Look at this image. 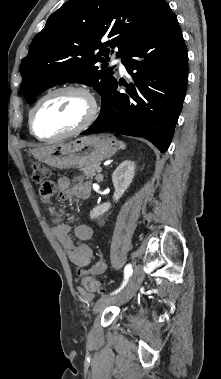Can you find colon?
I'll use <instances>...</instances> for the list:
<instances>
[{"label":"colon","mask_w":221,"mask_h":379,"mask_svg":"<svg viewBox=\"0 0 221 379\" xmlns=\"http://www.w3.org/2000/svg\"><path fill=\"white\" fill-rule=\"evenodd\" d=\"M50 177L51 172L46 165L38 162L32 165L31 178L33 183L39 186L40 195H45L51 190ZM82 284L88 292H102L103 290L101 283L91 276L83 277Z\"/></svg>","instance_id":"5ec220e1"}]
</instances>
